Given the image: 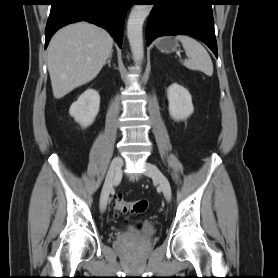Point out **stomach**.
Segmentation results:
<instances>
[{
  "label": "stomach",
  "mask_w": 278,
  "mask_h": 278,
  "mask_svg": "<svg viewBox=\"0 0 278 278\" xmlns=\"http://www.w3.org/2000/svg\"><path fill=\"white\" fill-rule=\"evenodd\" d=\"M178 42L173 37H163L156 42V47L163 53H171L177 50Z\"/></svg>",
  "instance_id": "stomach-1"
}]
</instances>
